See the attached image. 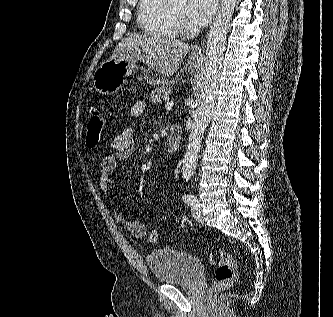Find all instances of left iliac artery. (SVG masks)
Segmentation results:
<instances>
[{
  "mask_svg": "<svg viewBox=\"0 0 333 317\" xmlns=\"http://www.w3.org/2000/svg\"><path fill=\"white\" fill-rule=\"evenodd\" d=\"M183 201L190 206L191 208L195 207L198 203L197 198L194 195L191 194H185L183 196Z\"/></svg>",
  "mask_w": 333,
  "mask_h": 317,
  "instance_id": "1",
  "label": "left iliac artery"
}]
</instances>
